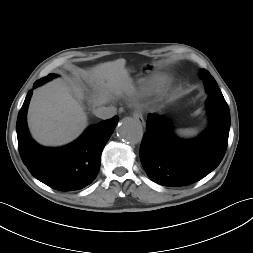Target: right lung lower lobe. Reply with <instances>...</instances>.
<instances>
[{"instance_id":"98d812e1","label":"right lung lower lobe","mask_w":253,"mask_h":253,"mask_svg":"<svg viewBox=\"0 0 253 253\" xmlns=\"http://www.w3.org/2000/svg\"><path fill=\"white\" fill-rule=\"evenodd\" d=\"M40 81L34 86L43 84ZM31 95L30 90L16 124L23 163L36 179L56 190L74 191L92 183L99 172L102 150L116 127L118 116L88 127L67 146L45 148L30 137L27 129L26 113Z\"/></svg>"}]
</instances>
